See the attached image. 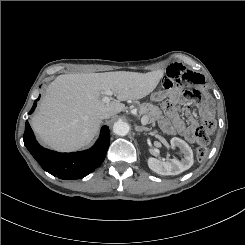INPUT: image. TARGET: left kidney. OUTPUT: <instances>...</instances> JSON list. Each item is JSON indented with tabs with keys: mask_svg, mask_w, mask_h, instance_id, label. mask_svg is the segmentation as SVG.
<instances>
[{
	"mask_svg": "<svg viewBox=\"0 0 245 245\" xmlns=\"http://www.w3.org/2000/svg\"><path fill=\"white\" fill-rule=\"evenodd\" d=\"M172 147H178L183 153L182 160L170 159L169 161H161L157 158L149 157V168L160 175H178L185 170H188L194 162L193 151L191 147L182 139L173 137L170 140Z\"/></svg>",
	"mask_w": 245,
	"mask_h": 245,
	"instance_id": "obj_1",
	"label": "left kidney"
}]
</instances>
